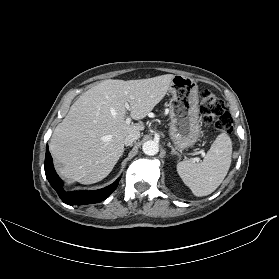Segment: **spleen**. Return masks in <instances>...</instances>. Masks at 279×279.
I'll list each match as a JSON object with an SVG mask.
<instances>
[{"instance_id":"spleen-1","label":"spleen","mask_w":279,"mask_h":279,"mask_svg":"<svg viewBox=\"0 0 279 279\" xmlns=\"http://www.w3.org/2000/svg\"><path fill=\"white\" fill-rule=\"evenodd\" d=\"M232 141L226 133L217 136L203 162L184 160L177 172L195 196L214 192L226 177L231 165Z\"/></svg>"}]
</instances>
